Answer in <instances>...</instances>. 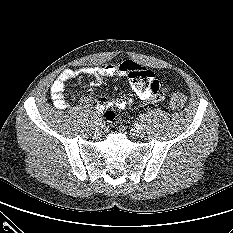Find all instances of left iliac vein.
<instances>
[{"mask_svg":"<svg viewBox=\"0 0 233 233\" xmlns=\"http://www.w3.org/2000/svg\"><path fill=\"white\" fill-rule=\"evenodd\" d=\"M145 129L142 125H136L134 127V134H136V136L138 137H144L145 136Z\"/></svg>","mask_w":233,"mask_h":233,"instance_id":"4c4485c4","label":"left iliac vein"}]
</instances>
